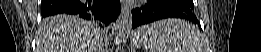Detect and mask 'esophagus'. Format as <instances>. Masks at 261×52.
I'll list each match as a JSON object with an SVG mask.
<instances>
[{"instance_id": "34e87169", "label": "esophagus", "mask_w": 261, "mask_h": 52, "mask_svg": "<svg viewBox=\"0 0 261 52\" xmlns=\"http://www.w3.org/2000/svg\"><path fill=\"white\" fill-rule=\"evenodd\" d=\"M130 15V8L128 5L123 4L122 9H121V16L128 18Z\"/></svg>"}]
</instances>
